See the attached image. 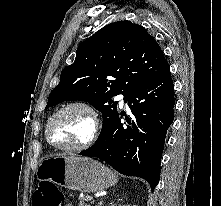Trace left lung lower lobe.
<instances>
[{"instance_id":"obj_1","label":"left lung lower lobe","mask_w":221,"mask_h":206,"mask_svg":"<svg viewBox=\"0 0 221 206\" xmlns=\"http://www.w3.org/2000/svg\"><path fill=\"white\" fill-rule=\"evenodd\" d=\"M131 119L120 123L119 114L112 128L100 140L80 154L97 157L118 172L138 176L152 190L160 178V163L168 127L174 118L173 81L168 68L125 98Z\"/></svg>"}]
</instances>
